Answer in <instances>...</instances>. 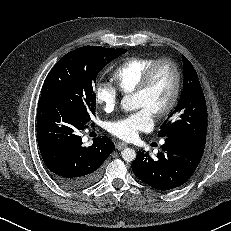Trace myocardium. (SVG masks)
Instances as JSON below:
<instances>
[{"instance_id":"f54148a6","label":"myocardium","mask_w":231,"mask_h":231,"mask_svg":"<svg viewBox=\"0 0 231 231\" xmlns=\"http://www.w3.org/2000/svg\"><path fill=\"white\" fill-rule=\"evenodd\" d=\"M162 64L168 65L172 69L174 74V86L171 96L166 105L152 112L153 115L157 118H162L169 115L175 108L180 97L182 89V73L178 64L170 58H161L154 61L145 71L140 83L138 84L137 88L133 91L134 94L146 93V91L149 89L156 69Z\"/></svg>"}]
</instances>
